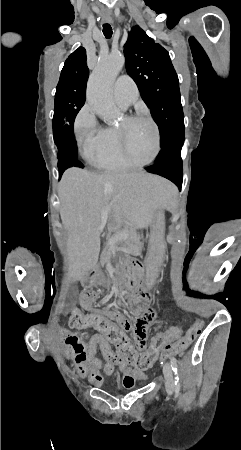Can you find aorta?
<instances>
[{"mask_svg": "<svg viewBox=\"0 0 241 450\" xmlns=\"http://www.w3.org/2000/svg\"><path fill=\"white\" fill-rule=\"evenodd\" d=\"M125 63L121 53L101 58L91 73L87 85V101L104 121L112 122L118 115L112 97V85Z\"/></svg>", "mask_w": 241, "mask_h": 450, "instance_id": "1", "label": "aorta"}]
</instances>
